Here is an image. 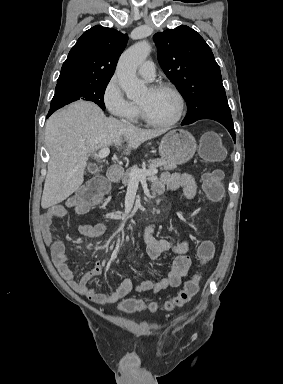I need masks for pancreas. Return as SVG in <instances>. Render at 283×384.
I'll return each instance as SVG.
<instances>
[{
	"mask_svg": "<svg viewBox=\"0 0 283 384\" xmlns=\"http://www.w3.org/2000/svg\"><path fill=\"white\" fill-rule=\"evenodd\" d=\"M148 164L149 170H153V168H160V170H165V172H169V170H174V168H176V164H171V162H166V160H148ZM116 168H119L120 170L121 180L124 186H128L131 180L130 174L132 170H143V168H138V166H132V168H128L126 172H124V168H121V166H116ZM111 182H115V180H111Z\"/></svg>",
	"mask_w": 283,
	"mask_h": 384,
	"instance_id": "cf45deb5",
	"label": "pancreas"
}]
</instances>
